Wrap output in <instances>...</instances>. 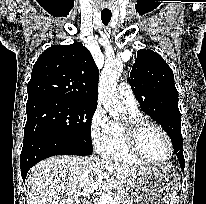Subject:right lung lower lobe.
Instances as JSON below:
<instances>
[{"instance_id": "98d812e1", "label": "right lung lower lobe", "mask_w": 206, "mask_h": 204, "mask_svg": "<svg viewBox=\"0 0 206 204\" xmlns=\"http://www.w3.org/2000/svg\"><path fill=\"white\" fill-rule=\"evenodd\" d=\"M89 155L73 144L54 137L36 136L23 142L20 155L21 175L25 181L29 169L37 162L55 155Z\"/></svg>"}]
</instances>
